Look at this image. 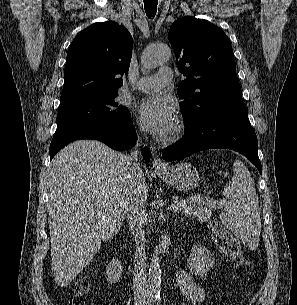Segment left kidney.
<instances>
[{
  "instance_id": "5707ae66",
  "label": "left kidney",
  "mask_w": 297,
  "mask_h": 305,
  "mask_svg": "<svg viewBox=\"0 0 297 305\" xmlns=\"http://www.w3.org/2000/svg\"><path fill=\"white\" fill-rule=\"evenodd\" d=\"M213 254L205 247L195 244L192 246L188 259V267L194 275L204 277L214 265Z\"/></svg>"
}]
</instances>
